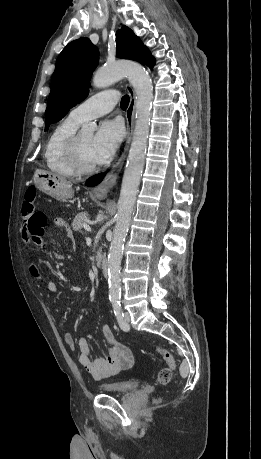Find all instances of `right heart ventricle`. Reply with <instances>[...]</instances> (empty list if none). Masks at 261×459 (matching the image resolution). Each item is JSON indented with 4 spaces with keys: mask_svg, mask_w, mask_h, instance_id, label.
I'll return each mask as SVG.
<instances>
[{
    "mask_svg": "<svg viewBox=\"0 0 261 459\" xmlns=\"http://www.w3.org/2000/svg\"><path fill=\"white\" fill-rule=\"evenodd\" d=\"M80 123L68 116L50 132L44 148V159L50 170L68 177L77 174L67 160L66 147Z\"/></svg>",
    "mask_w": 261,
    "mask_h": 459,
    "instance_id": "1",
    "label": "right heart ventricle"
}]
</instances>
